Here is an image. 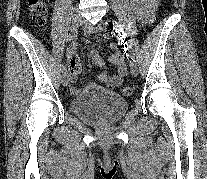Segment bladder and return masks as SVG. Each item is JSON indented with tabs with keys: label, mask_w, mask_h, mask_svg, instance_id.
<instances>
[{
	"label": "bladder",
	"mask_w": 207,
	"mask_h": 179,
	"mask_svg": "<svg viewBox=\"0 0 207 179\" xmlns=\"http://www.w3.org/2000/svg\"><path fill=\"white\" fill-rule=\"evenodd\" d=\"M128 101L117 93L95 84L86 85L71 99L72 112L84 121L93 124L115 122L124 116Z\"/></svg>",
	"instance_id": "31cf9c89"
}]
</instances>
